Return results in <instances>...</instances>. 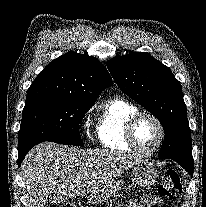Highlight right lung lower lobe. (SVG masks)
I'll list each match as a JSON object with an SVG mask.
<instances>
[{
    "instance_id": "obj_1",
    "label": "right lung lower lobe",
    "mask_w": 206,
    "mask_h": 207,
    "mask_svg": "<svg viewBox=\"0 0 206 207\" xmlns=\"http://www.w3.org/2000/svg\"><path fill=\"white\" fill-rule=\"evenodd\" d=\"M29 150H24L22 152H18V166H20L22 160L24 159L25 155Z\"/></svg>"
}]
</instances>
